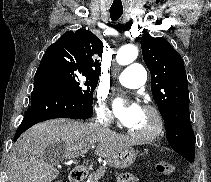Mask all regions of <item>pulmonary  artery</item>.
<instances>
[{
    "label": "pulmonary artery",
    "mask_w": 211,
    "mask_h": 182,
    "mask_svg": "<svg viewBox=\"0 0 211 182\" xmlns=\"http://www.w3.org/2000/svg\"><path fill=\"white\" fill-rule=\"evenodd\" d=\"M146 70L138 63L130 64L119 75L118 81L129 88H138L145 83Z\"/></svg>",
    "instance_id": "pulmonary-artery-1"
}]
</instances>
